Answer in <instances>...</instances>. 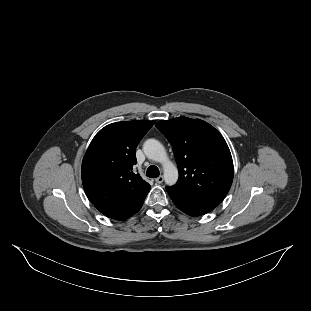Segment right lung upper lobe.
<instances>
[{"label":"right lung upper lobe","instance_id":"cb5924a9","mask_svg":"<svg viewBox=\"0 0 311 311\" xmlns=\"http://www.w3.org/2000/svg\"><path fill=\"white\" fill-rule=\"evenodd\" d=\"M154 121H124L102 128L82 162L87 197L105 216L124 220L142 207L150 185L133 172L136 147Z\"/></svg>","mask_w":311,"mask_h":311}]
</instances>
